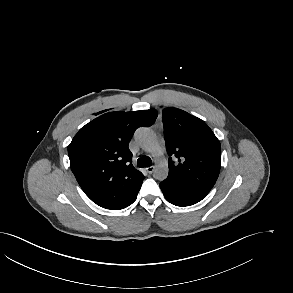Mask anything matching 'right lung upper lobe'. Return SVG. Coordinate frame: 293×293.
<instances>
[{
    "label": "right lung upper lobe",
    "instance_id": "obj_1",
    "mask_svg": "<svg viewBox=\"0 0 293 293\" xmlns=\"http://www.w3.org/2000/svg\"><path fill=\"white\" fill-rule=\"evenodd\" d=\"M157 111L109 112L83 126L68 146L70 167L97 205L120 210L132 204L144 180L132 165L128 144L138 127L151 126Z\"/></svg>",
    "mask_w": 293,
    "mask_h": 293
}]
</instances>
